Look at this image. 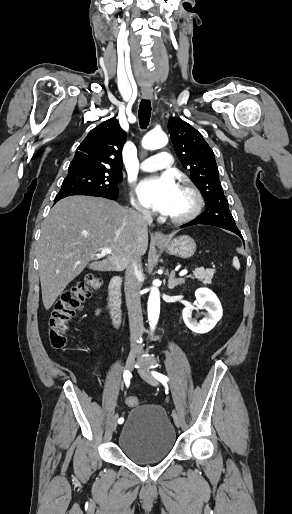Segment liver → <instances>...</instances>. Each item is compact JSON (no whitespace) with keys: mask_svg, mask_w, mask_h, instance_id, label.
Returning <instances> with one entry per match:
<instances>
[{"mask_svg":"<svg viewBox=\"0 0 292 514\" xmlns=\"http://www.w3.org/2000/svg\"><path fill=\"white\" fill-rule=\"evenodd\" d=\"M141 224L139 212L105 198L69 196L57 202L41 224L38 246L45 310L86 266L97 272H122L135 256H144L148 236ZM102 248H112L111 256L92 262Z\"/></svg>","mask_w":292,"mask_h":514,"instance_id":"1","label":"liver"}]
</instances>
